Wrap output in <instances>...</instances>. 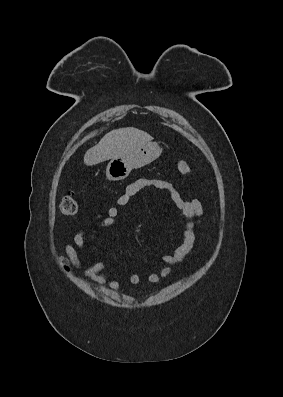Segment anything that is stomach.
Listing matches in <instances>:
<instances>
[{"label": "stomach", "instance_id": "stomach-1", "mask_svg": "<svg viewBox=\"0 0 283 397\" xmlns=\"http://www.w3.org/2000/svg\"><path fill=\"white\" fill-rule=\"evenodd\" d=\"M162 149L157 143H147L122 158H114L108 163L106 177L112 181L125 179L133 169L144 167L157 158Z\"/></svg>", "mask_w": 283, "mask_h": 397}]
</instances>
